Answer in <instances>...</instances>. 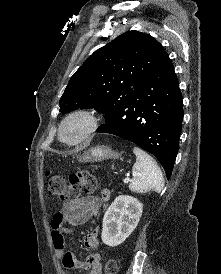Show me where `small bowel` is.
I'll return each mask as SVG.
<instances>
[{"mask_svg": "<svg viewBox=\"0 0 221 274\" xmlns=\"http://www.w3.org/2000/svg\"><path fill=\"white\" fill-rule=\"evenodd\" d=\"M111 198V191L107 188L101 190L100 197H80L72 202L65 203L53 216L52 242L55 254L61 259L64 268L72 270H86L89 274H101L102 261L99 253H91L85 261H80L77 256L65 250V236L73 232V228L84 224L96 216L101 206ZM99 229L84 236L83 243L86 249L98 248Z\"/></svg>", "mask_w": 221, "mask_h": 274, "instance_id": "c3829d8e", "label": "small bowel"}]
</instances>
